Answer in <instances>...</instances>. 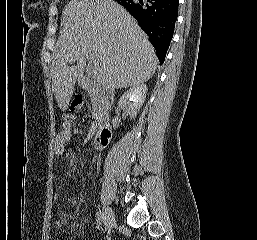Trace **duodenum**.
<instances>
[{
	"label": "duodenum",
	"instance_id": "1",
	"mask_svg": "<svg viewBox=\"0 0 257 240\" xmlns=\"http://www.w3.org/2000/svg\"><path fill=\"white\" fill-rule=\"evenodd\" d=\"M111 138V128L108 124H103L99 127L94 144L98 149H104L109 144Z\"/></svg>",
	"mask_w": 257,
	"mask_h": 240
}]
</instances>
